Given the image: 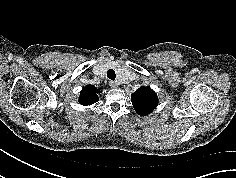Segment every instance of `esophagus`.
Returning a JSON list of instances; mask_svg holds the SVG:
<instances>
[{
	"mask_svg": "<svg viewBox=\"0 0 236 178\" xmlns=\"http://www.w3.org/2000/svg\"><path fill=\"white\" fill-rule=\"evenodd\" d=\"M109 85L112 87V88H118L119 84L117 82H114V81H110L109 82Z\"/></svg>",
	"mask_w": 236,
	"mask_h": 178,
	"instance_id": "esophagus-1",
	"label": "esophagus"
}]
</instances>
